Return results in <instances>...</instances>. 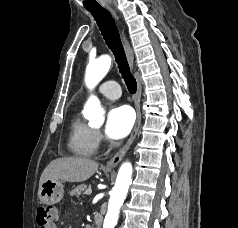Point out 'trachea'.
<instances>
[{"label":"trachea","instance_id":"3493384b","mask_svg":"<svg viewBox=\"0 0 238 228\" xmlns=\"http://www.w3.org/2000/svg\"><path fill=\"white\" fill-rule=\"evenodd\" d=\"M90 12L97 22L106 44L115 56L119 71L127 85L128 91L131 94L136 93L137 83L130 72L120 35L111 14L105 9L93 10Z\"/></svg>","mask_w":238,"mask_h":228}]
</instances>
